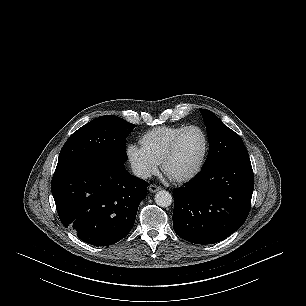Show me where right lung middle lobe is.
Listing matches in <instances>:
<instances>
[{
  "label": "right lung middle lobe",
  "mask_w": 306,
  "mask_h": 306,
  "mask_svg": "<svg viewBox=\"0 0 306 306\" xmlns=\"http://www.w3.org/2000/svg\"><path fill=\"white\" fill-rule=\"evenodd\" d=\"M134 127L114 115L95 118L68 138L59 154L56 171L86 160L125 162L126 137Z\"/></svg>",
  "instance_id": "obj_1"
}]
</instances>
